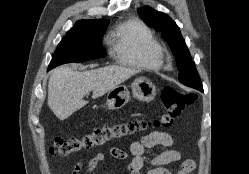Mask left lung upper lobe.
I'll return each mask as SVG.
<instances>
[{"instance_id":"1","label":"left lung upper lobe","mask_w":249,"mask_h":174,"mask_svg":"<svg viewBox=\"0 0 249 174\" xmlns=\"http://www.w3.org/2000/svg\"><path fill=\"white\" fill-rule=\"evenodd\" d=\"M138 14L149 27L160 32L162 38L168 42L173 55L176 57L177 67L180 71L179 81L186 86L199 90L202 83L176 23L168 15L157 12L148 6L140 8Z\"/></svg>"}]
</instances>
